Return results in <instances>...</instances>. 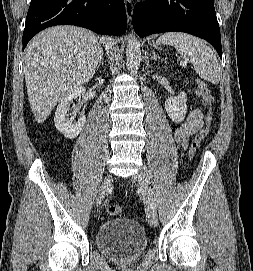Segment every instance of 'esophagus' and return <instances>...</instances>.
<instances>
[{
  "instance_id": "34e87169",
  "label": "esophagus",
  "mask_w": 253,
  "mask_h": 271,
  "mask_svg": "<svg viewBox=\"0 0 253 271\" xmlns=\"http://www.w3.org/2000/svg\"><path fill=\"white\" fill-rule=\"evenodd\" d=\"M124 3H125L126 16H127L128 21L130 22L133 16V3H132V0H124Z\"/></svg>"
}]
</instances>
